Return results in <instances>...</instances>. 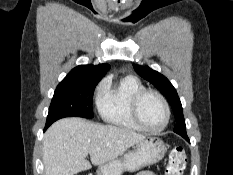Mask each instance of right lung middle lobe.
Segmentation results:
<instances>
[{"mask_svg":"<svg viewBox=\"0 0 233 175\" xmlns=\"http://www.w3.org/2000/svg\"><path fill=\"white\" fill-rule=\"evenodd\" d=\"M99 81L60 83L49 107L45 129L64 117L93 118L92 97Z\"/></svg>","mask_w":233,"mask_h":175,"instance_id":"dd1d6c3e","label":"right lung middle lobe"}]
</instances>
